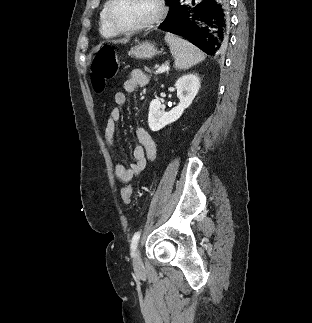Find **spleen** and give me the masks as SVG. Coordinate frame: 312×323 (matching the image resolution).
Here are the masks:
<instances>
[{"instance_id": "obj_1", "label": "spleen", "mask_w": 312, "mask_h": 323, "mask_svg": "<svg viewBox=\"0 0 312 323\" xmlns=\"http://www.w3.org/2000/svg\"><path fill=\"white\" fill-rule=\"evenodd\" d=\"M165 42L170 46V52L175 58V66L178 70H189L195 64L205 60V54L199 48H196L187 40H182L180 36L166 32Z\"/></svg>"}]
</instances>
